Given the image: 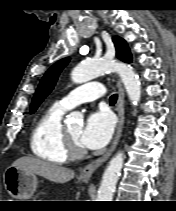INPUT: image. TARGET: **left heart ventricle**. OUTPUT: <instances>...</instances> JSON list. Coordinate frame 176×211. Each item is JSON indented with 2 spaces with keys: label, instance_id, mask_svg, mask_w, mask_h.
Returning <instances> with one entry per match:
<instances>
[{
  "label": "left heart ventricle",
  "instance_id": "left-heart-ventricle-1",
  "mask_svg": "<svg viewBox=\"0 0 176 211\" xmlns=\"http://www.w3.org/2000/svg\"><path fill=\"white\" fill-rule=\"evenodd\" d=\"M70 136L74 139V141L79 144L80 146L81 143H80V135H81V132H82V127L81 126H78V125H74V126H70L67 128Z\"/></svg>",
  "mask_w": 176,
  "mask_h": 211
}]
</instances>
